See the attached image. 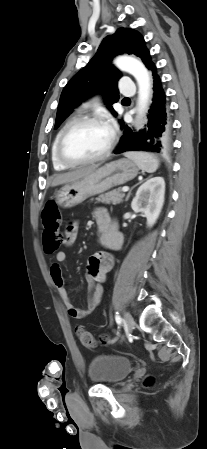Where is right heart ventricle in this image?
<instances>
[{
    "instance_id": "obj_1",
    "label": "right heart ventricle",
    "mask_w": 207,
    "mask_h": 449,
    "mask_svg": "<svg viewBox=\"0 0 207 449\" xmlns=\"http://www.w3.org/2000/svg\"><path fill=\"white\" fill-rule=\"evenodd\" d=\"M68 123H69V122H67V123L60 129V131L57 133V135L55 136V138H54V140H53L52 147H51V161H52V165H53L54 169H55V170H58V171H60V170H65V169L68 168L67 166L63 165V164L59 161V159H58V157H57V154H56V146H57L58 138H59V136H60L62 130L65 128V126H66Z\"/></svg>"
}]
</instances>
